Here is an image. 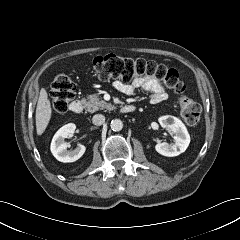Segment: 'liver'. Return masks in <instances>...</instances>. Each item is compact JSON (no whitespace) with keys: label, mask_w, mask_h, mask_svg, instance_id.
<instances>
[{"label":"liver","mask_w":240,"mask_h":240,"mask_svg":"<svg viewBox=\"0 0 240 240\" xmlns=\"http://www.w3.org/2000/svg\"><path fill=\"white\" fill-rule=\"evenodd\" d=\"M51 104L45 89L40 91L37 107H36V132L42 135L48 126L51 118Z\"/></svg>","instance_id":"6515ba94"}]
</instances>
